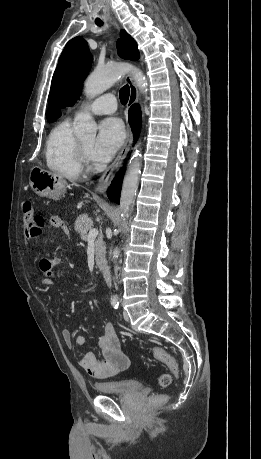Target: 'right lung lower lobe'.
<instances>
[{
  "label": "right lung lower lobe",
  "mask_w": 261,
  "mask_h": 459,
  "mask_svg": "<svg viewBox=\"0 0 261 459\" xmlns=\"http://www.w3.org/2000/svg\"><path fill=\"white\" fill-rule=\"evenodd\" d=\"M129 122L134 134V138H137L141 129V110L138 104H134L129 109ZM123 173L120 171L117 173L112 181L111 186L108 189L109 199L119 204L120 191L122 185Z\"/></svg>",
  "instance_id": "obj_1"
}]
</instances>
